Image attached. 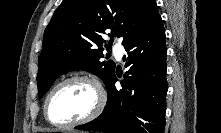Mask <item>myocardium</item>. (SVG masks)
<instances>
[{
	"label": "myocardium",
	"mask_w": 221,
	"mask_h": 133,
	"mask_svg": "<svg viewBox=\"0 0 221 133\" xmlns=\"http://www.w3.org/2000/svg\"><path fill=\"white\" fill-rule=\"evenodd\" d=\"M73 81L87 82L93 87L95 94H96L95 104H94L92 110L87 115H85L84 117H82L80 119H77V120H74L71 122H67V123L53 122L48 115L49 100H50L51 96L53 95V93L59 87L65 85L69 82H73ZM105 105H106V94H105V90H104L102 84L100 83V81L97 78L90 76V75L74 74V75L68 76V77L60 80L48 91V93L44 99L43 114H44V117L47 120V122L50 123L52 126H55L58 128H70V127H76V126L86 124V123L96 119L104 110Z\"/></svg>",
	"instance_id": "obj_1"
}]
</instances>
